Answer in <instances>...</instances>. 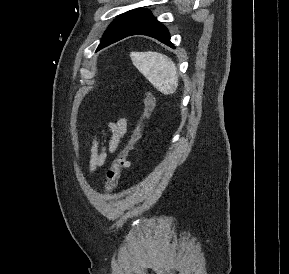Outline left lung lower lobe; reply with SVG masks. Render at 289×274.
Listing matches in <instances>:
<instances>
[{
    "instance_id": "left-lung-lower-lobe-1",
    "label": "left lung lower lobe",
    "mask_w": 289,
    "mask_h": 274,
    "mask_svg": "<svg viewBox=\"0 0 289 274\" xmlns=\"http://www.w3.org/2000/svg\"><path fill=\"white\" fill-rule=\"evenodd\" d=\"M147 35L150 37H153L160 42L167 44L168 46L175 48L174 45L170 41V34L167 30V28L162 25L160 22H158L152 15L145 20L143 23H141L137 28H135L133 31L130 33L126 34L125 36L121 37L119 40L131 36V35ZM117 40V41H119ZM114 41V42H117ZM112 42V43H114ZM110 43V44H112ZM110 44H105L99 48H97V51L110 45Z\"/></svg>"
}]
</instances>
